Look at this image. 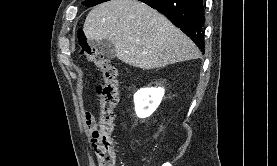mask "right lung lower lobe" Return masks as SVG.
<instances>
[{
    "instance_id": "obj_1",
    "label": "right lung lower lobe",
    "mask_w": 277,
    "mask_h": 166,
    "mask_svg": "<svg viewBox=\"0 0 277 166\" xmlns=\"http://www.w3.org/2000/svg\"><path fill=\"white\" fill-rule=\"evenodd\" d=\"M164 14L204 52L203 0H139Z\"/></svg>"
}]
</instances>
